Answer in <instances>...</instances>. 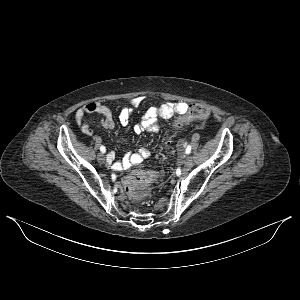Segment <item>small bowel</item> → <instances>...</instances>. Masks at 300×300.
Instances as JSON below:
<instances>
[{
  "label": "small bowel",
  "instance_id": "obj_1",
  "mask_svg": "<svg viewBox=\"0 0 300 300\" xmlns=\"http://www.w3.org/2000/svg\"><path fill=\"white\" fill-rule=\"evenodd\" d=\"M143 97H134L125 105H122L118 113V121L122 126L130 123L131 115L134 109L143 103ZM188 108L185 102H168L157 107L149 108L140 122L133 126L136 134L143 132L156 133L160 130V119H171L176 115L183 114ZM96 113L102 117V125L105 128L112 129L115 127L114 115L109 107L100 102H89L81 106L75 113V121L81 130L88 136L93 135V131L84 120L87 114ZM100 141V138H97ZM150 152L147 148L141 147L136 152H127L122 158L116 160L114 152L107 157V165L114 171H122L131 165L140 164L148 158Z\"/></svg>",
  "mask_w": 300,
  "mask_h": 300
}]
</instances>
